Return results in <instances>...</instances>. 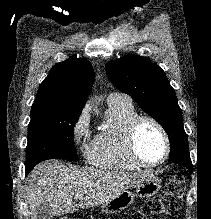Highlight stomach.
Returning <instances> with one entry per match:
<instances>
[{
  "label": "stomach",
  "instance_id": "obj_1",
  "mask_svg": "<svg viewBox=\"0 0 211 219\" xmlns=\"http://www.w3.org/2000/svg\"><path fill=\"white\" fill-rule=\"evenodd\" d=\"M161 188V182L155 175L148 176L136 186V194L141 197H151ZM135 194L126 190L102 205L103 212L114 214L128 208L134 201Z\"/></svg>",
  "mask_w": 211,
  "mask_h": 219
}]
</instances>
